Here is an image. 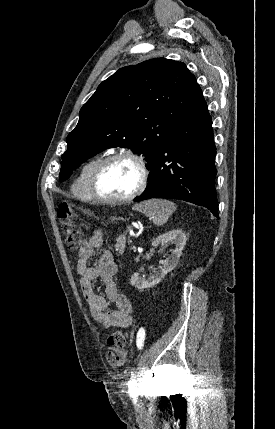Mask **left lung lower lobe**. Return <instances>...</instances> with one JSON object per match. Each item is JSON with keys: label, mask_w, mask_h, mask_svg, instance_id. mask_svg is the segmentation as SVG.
<instances>
[{"label": "left lung lower lobe", "mask_w": 275, "mask_h": 429, "mask_svg": "<svg viewBox=\"0 0 275 429\" xmlns=\"http://www.w3.org/2000/svg\"><path fill=\"white\" fill-rule=\"evenodd\" d=\"M215 155L211 117L197 85L186 111L148 166V185L135 202L179 199L204 206L219 218Z\"/></svg>", "instance_id": "1"}]
</instances>
